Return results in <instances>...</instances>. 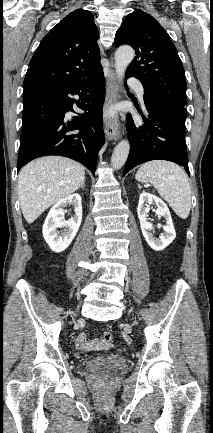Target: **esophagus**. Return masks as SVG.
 <instances>
[{
  "mask_svg": "<svg viewBox=\"0 0 213 433\" xmlns=\"http://www.w3.org/2000/svg\"><path fill=\"white\" fill-rule=\"evenodd\" d=\"M117 101L116 75L111 66L106 83V100L104 104V131L109 141H117L120 138L117 117H110L108 110Z\"/></svg>",
  "mask_w": 213,
  "mask_h": 433,
  "instance_id": "1",
  "label": "esophagus"
}]
</instances>
